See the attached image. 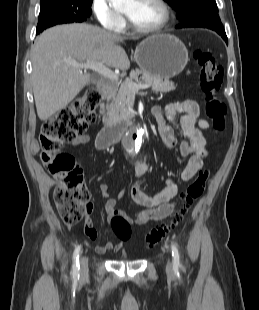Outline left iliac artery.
<instances>
[{
	"mask_svg": "<svg viewBox=\"0 0 259 310\" xmlns=\"http://www.w3.org/2000/svg\"><path fill=\"white\" fill-rule=\"evenodd\" d=\"M172 257H173V269L175 272H178V268L181 266L180 264V255L177 247L172 243L171 245Z\"/></svg>",
	"mask_w": 259,
	"mask_h": 310,
	"instance_id": "obj_1",
	"label": "left iliac artery"
}]
</instances>
